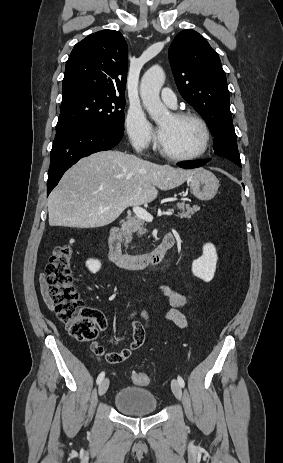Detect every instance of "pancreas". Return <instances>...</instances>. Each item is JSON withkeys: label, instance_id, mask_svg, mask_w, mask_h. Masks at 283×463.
Wrapping results in <instances>:
<instances>
[{"label": "pancreas", "instance_id": "obj_1", "mask_svg": "<svg viewBox=\"0 0 283 463\" xmlns=\"http://www.w3.org/2000/svg\"><path fill=\"white\" fill-rule=\"evenodd\" d=\"M177 208L180 210V213H178V215L181 218H191L195 212L200 210V207L197 205L190 206L189 204L185 203H177ZM170 211H173V209H171ZM144 224V220L138 217L129 219L128 222L122 228L126 241H131L132 234L135 232H137L139 236L144 235L146 233Z\"/></svg>", "mask_w": 283, "mask_h": 463}]
</instances>
